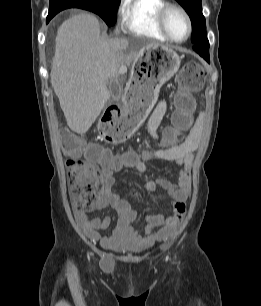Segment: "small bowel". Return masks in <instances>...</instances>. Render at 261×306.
<instances>
[{"mask_svg": "<svg viewBox=\"0 0 261 306\" xmlns=\"http://www.w3.org/2000/svg\"><path fill=\"white\" fill-rule=\"evenodd\" d=\"M167 109L166 101L159 102L146 123V131L156 140H158L157 129ZM202 128V120L198 119L192 129L175 144L164 148H154L147 152V157L176 162L180 166V172L176 183L163 177L146 183L147 190L151 192L156 191L158 187L165 190L173 199L174 211L173 215L167 219L158 214L148 215L147 224L142 231L133 226V223L138 219V212L117 193L113 172L123 168L146 172V163L140 159L117 160L106 151L107 158L101 160L103 172L102 195L96 208L114 207L119 214V220L110 234L102 235L101 231L110 227L111 217L90 218L87 211L77 210L74 214L75 219L84 235L91 241L99 242L104 249L115 252L142 250L157 241L173 237L177 233L186 212L185 202L191 187L190 167L194 154L201 143ZM77 163V159H70L67 161V167L70 169Z\"/></svg>", "mask_w": 261, "mask_h": 306, "instance_id": "obj_1", "label": "small bowel"}]
</instances>
